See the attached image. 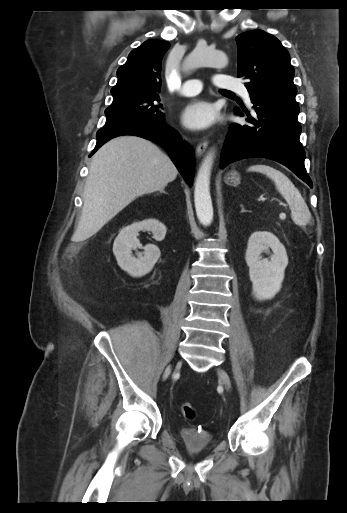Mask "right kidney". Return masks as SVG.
<instances>
[{"label": "right kidney", "mask_w": 347, "mask_h": 513, "mask_svg": "<svg viewBox=\"0 0 347 513\" xmlns=\"http://www.w3.org/2000/svg\"><path fill=\"white\" fill-rule=\"evenodd\" d=\"M141 230L151 231L156 241H162L166 235L165 225L156 219L134 222L120 231L113 244V253L121 269L133 277L149 273L160 257V250L156 245L147 244L142 247L137 238ZM141 247L144 251L136 258L132 250Z\"/></svg>", "instance_id": "1"}]
</instances>
